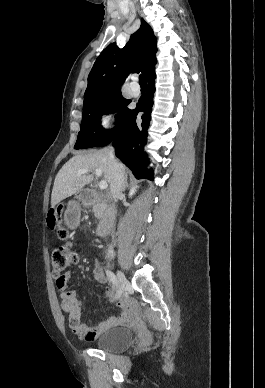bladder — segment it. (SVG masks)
Masks as SVG:
<instances>
[{"mask_svg": "<svg viewBox=\"0 0 265 388\" xmlns=\"http://www.w3.org/2000/svg\"><path fill=\"white\" fill-rule=\"evenodd\" d=\"M133 335L129 328H115L107 331L97 339L100 350L125 349L132 345Z\"/></svg>", "mask_w": 265, "mask_h": 388, "instance_id": "bladder-1", "label": "bladder"}]
</instances>
